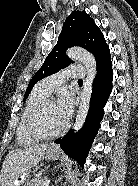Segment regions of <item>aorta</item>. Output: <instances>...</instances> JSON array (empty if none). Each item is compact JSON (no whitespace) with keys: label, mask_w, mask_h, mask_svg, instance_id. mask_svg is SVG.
Listing matches in <instances>:
<instances>
[{"label":"aorta","mask_w":138,"mask_h":186,"mask_svg":"<svg viewBox=\"0 0 138 186\" xmlns=\"http://www.w3.org/2000/svg\"><path fill=\"white\" fill-rule=\"evenodd\" d=\"M66 54L68 58L83 63L87 72V76L84 81L83 90L81 93V102L73 126V129L75 131H78L82 128L90 107L93 81L97 74V66L94 56L85 49L78 47L70 48L67 50Z\"/></svg>","instance_id":"762f6f07"}]
</instances>
